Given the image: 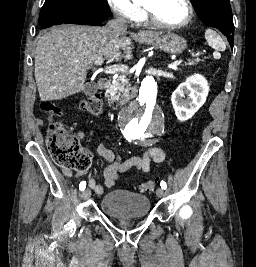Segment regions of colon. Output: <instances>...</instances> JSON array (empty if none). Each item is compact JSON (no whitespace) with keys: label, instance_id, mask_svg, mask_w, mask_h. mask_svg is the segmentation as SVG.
Returning <instances> with one entry per match:
<instances>
[{"label":"colon","instance_id":"1","mask_svg":"<svg viewBox=\"0 0 256 267\" xmlns=\"http://www.w3.org/2000/svg\"><path fill=\"white\" fill-rule=\"evenodd\" d=\"M81 111L87 114H98L102 108V102L97 97H85L78 103ZM41 108L46 113L57 114L59 108L51 101L41 103ZM48 148L53 160L63 166L85 169L90 163L89 152L78 144L71 133L57 124H51L49 135L47 138ZM157 188L155 181L142 182L139 184V189L142 192H153Z\"/></svg>","mask_w":256,"mask_h":267}]
</instances>
